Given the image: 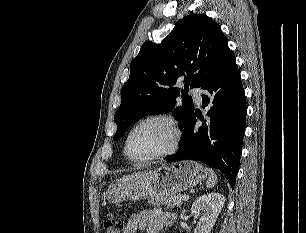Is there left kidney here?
Wrapping results in <instances>:
<instances>
[{
    "instance_id": "5707ae66",
    "label": "left kidney",
    "mask_w": 306,
    "mask_h": 233,
    "mask_svg": "<svg viewBox=\"0 0 306 233\" xmlns=\"http://www.w3.org/2000/svg\"><path fill=\"white\" fill-rule=\"evenodd\" d=\"M225 197L219 193H210L200 196L191 207V214L199 218L194 233H210L219 216Z\"/></svg>"
}]
</instances>
